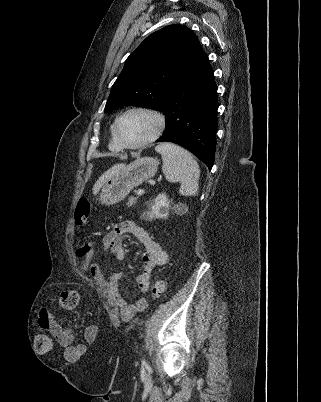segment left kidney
<instances>
[{"mask_svg":"<svg viewBox=\"0 0 321 402\" xmlns=\"http://www.w3.org/2000/svg\"><path fill=\"white\" fill-rule=\"evenodd\" d=\"M150 211L142 214L147 220L167 219L170 209V201L166 193H160L157 197L149 202Z\"/></svg>","mask_w":321,"mask_h":402,"instance_id":"1","label":"left kidney"}]
</instances>
